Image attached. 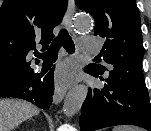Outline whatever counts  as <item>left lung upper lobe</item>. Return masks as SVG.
<instances>
[{
	"label": "left lung upper lobe",
	"mask_w": 151,
	"mask_h": 131,
	"mask_svg": "<svg viewBox=\"0 0 151 131\" xmlns=\"http://www.w3.org/2000/svg\"><path fill=\"white\" fill-rule=\"evenodd\" d=\"M75 3L93 16L95 35L106 39L101 56L113 65V70L142 68L145 49L135 0H75ZM88 66L100 74L106 70L100 64Z\"/></svg>",
	"instance_id": "left-lung-upper-lobe-1"
}]
</instances>
